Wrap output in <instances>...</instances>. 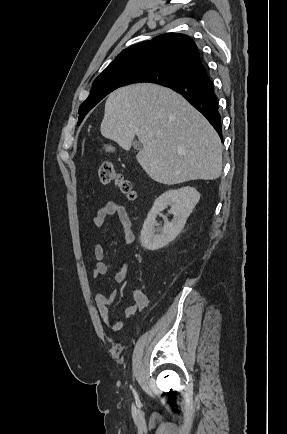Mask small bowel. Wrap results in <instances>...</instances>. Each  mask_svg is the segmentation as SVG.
I'll return each mask as SVG.
<instances>
[{"instance_id": "obj_1", "label": "small bowel", "mask_w": 287, "mask_h": 434, "mask_svg": "<svg viewBox=\"0 0 287 434\" xmlns=\"http://www.w3.org/2000/svg\"><path fill=\"white\" fill-rule=\"evenodd\" d=\"M112 216H116L118 219L124 243L126 245L131 244L134 241L135 236L128 212L124 206L113 201L106 203L94 216L92 221L93 225L97 228H100L104 226L108 219ZM103 257L104 248L102 245H97L94 248V258L96 263L92 270V276L94 279H98L107 273V265L103 261ZM128 269V263H124L122 267L115 272L113 276L114 281L116 283L123 282L128 273ZM116 298V290H112L107 295L97 292L93 296V300L100 317L114 332H119L123 327V323L120 320L113 318L109 310V306L116 300ZM147 306L148 297L145 292L141 289H135L133 291V303L124 310V315L131 316L135 313L143 311Z\"/></svg>"}]
</instances>
